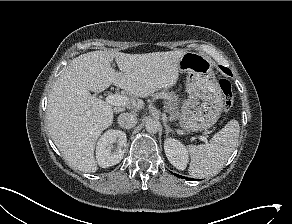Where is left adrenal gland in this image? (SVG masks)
<instances>
[{
	"instance_id": "a2214340",
	"label": "left adrenal gland",
	"mask_w": 292,
	"mask_h": 224,
	"mask_svg": "<svg viewBox=\"0 0 292 224\" xmlns=\"http://www.w3.org/2000/svg\"><path fill=\"white\" fill-rule=\"evenodd\" d=\"M164 127H165L166 136H168L170 132H173V130L166 123H164Z\"/></svg>"
}]
</instances>
